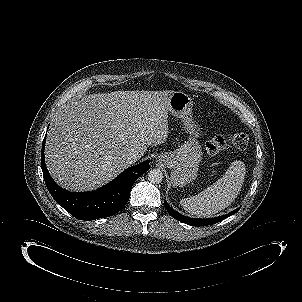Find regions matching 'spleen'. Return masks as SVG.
<instances>
[{
	"label": "spleen",
	"mask_w": 302,
	"mask_h": 302,
	"mask_svg": "<svg viewBox=\"0 0 302 302\" xmlns=\"http://www.w3.org/2000/svg\"><path fill=\"white\" fill-rule=\"evenodd\" d=\"M245 177V165L236 160L225 174L198 195L184 198L181 206L191 215L212 217L227 208L238 196Z\"/></svg>",
	"instance_id": "1"
}]
</instances>
